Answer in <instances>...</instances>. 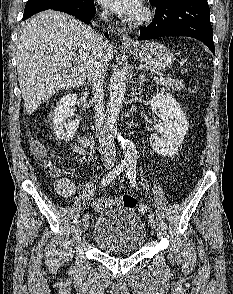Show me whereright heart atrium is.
Returning a JSON list of instances; mask_svg holds the SVG:
<instances>
[{"label": "right heart atrium", "mask_w": 233, "mask_h": 294, "mask_svg": "<svg viewBox=\"0 0 233 294\" xmlns=\"http://www.w3.org/2000/svg\"><path fill=\"white\" fill-rule=\"evenodd\" d=\"M105 14H106V13L103 11V12H102V15H105Z\"/></svg>", "instance_id": "1"}]
</instances>
